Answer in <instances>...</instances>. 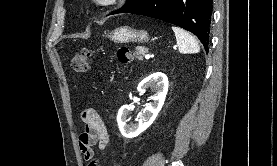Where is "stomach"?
Returning a JSON list of instances; mask_svg holds the SVG:
<instances>
[{"label":"stomach","mask_w":277,"mask_h":166,"mask_svg":"<svg viewBox=\"0 0 277 166\" xmlns=\"http://www.w3.org/2000/svg\"><path fill=\"white\" fill-rule=\"evenodd\" d=\"M108 38H110L113 42L120 44L129 42L143 43L149 40V35L143 30L133 29L128 26H121L110 32L108 34Z\"/></svg>","instance_id":"obj_1"}]
</instances>
